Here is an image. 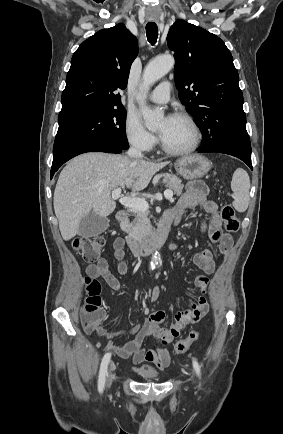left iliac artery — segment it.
Returning a JSON list of instances; mask_svg holds the SVG:
<instances>
[{"label":"left iliac artery","mask_w":283,"mask_h":434,"mask_svg":"<svg viewBox=\"0 0 283 434\" xmlns=\"http://www.w3.org/2000/svg\"><path fill=\"white\" fill-rule=\"evenodd\" d=\"M193 367H194V370L196 371V374L200 377V375H201L200 366H199L196 359H193Z\"/></svg>","instance_id":"left-iliac-artery-1"}]
</instances>
